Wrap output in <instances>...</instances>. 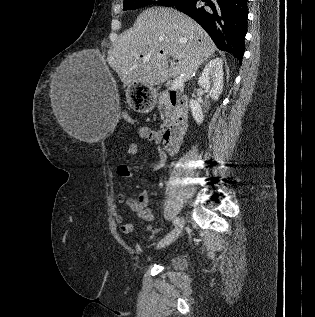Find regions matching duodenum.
<instances>
[{"mask_svg":"<svg viewBox=\"0 0 315 317\" xmlns=\"http://www.w3.org/2000/svg\"><path fill=\"white\" fill-rule=\"evenodd\" d=\"M173 118L169 127L162 133L164 149L169 154L176 153L184 139L188 127L187 101L176 90H171L167 100Z\"/></svg>","mask_w":315,"mask_h":317,"instance_id":"obj_1","label":"duodenum"}]
</instances>
